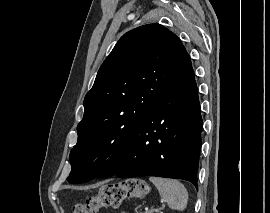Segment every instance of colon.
<instances>
[{
  "mask_svg": "<svg viewBox=\"0 0 270 213\" xmlns=\"http://www.w3.org/2000/svg\"><path fill=\"white\" fill-rule=\"evenodd\" d=\"M148 192L149 187L146 182L137 178L107 184L100 188L98 194L88 198L85 203L74 204L72 213H97L101 208H116L126 198H140Z\"/></svg>",
  "mask_w": 270,
  "mask_h": 213,
  "instance_id": "5ec220e1",
  "label": "colon"
}]
</instances>
